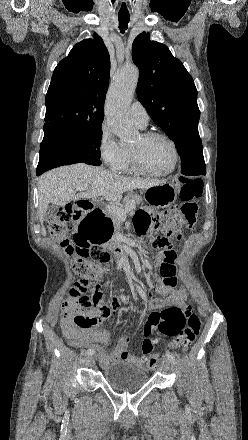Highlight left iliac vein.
Masks as SVG:
<instances>
[{
	"label": "left iliac vein",
	"mask_w": 248,
	"mask_h": 440,
	"mask_svg": "<svg viewBox=\"0 0 248 440\" xmlns=\"http://www.w3.org/2000/svg\"><path fill=\"white\" fill-rule=\"evenodd\" d=\"M170 367H171V361L167 357L163 358V360H162V369L165 372H169L170 371Z\"/></svg>",
	"instance_id": "1"
}]
</instances>
